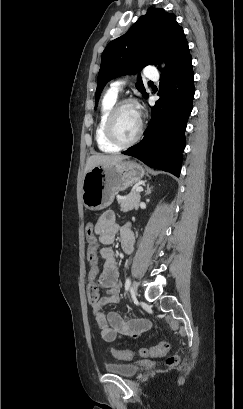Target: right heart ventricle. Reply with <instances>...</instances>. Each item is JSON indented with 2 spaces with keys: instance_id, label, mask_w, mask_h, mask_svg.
Listing matches in <instances>:
<instances>
[{
  "instance_id": "1",
  "label": "right heart ventricle",
  "mask_w": 243,
  "mask_h": 409,
  "mask_svg": "<svg viewBox=\"0 0 243 409\" xmlns=\"http://www.w3.org/2000/svg\"><path fill=\"white\" fill-rule=\"evenodd\" d=\"M116 101L117 94L110 91L104 95L101 101L99 120L95 129V140L99 150L104 153H114L120 149L118 146L112 144L105 134V121Z\"/></svg>"
}]
</instances>
